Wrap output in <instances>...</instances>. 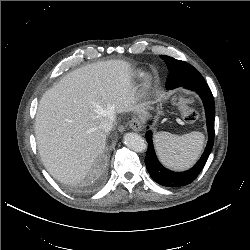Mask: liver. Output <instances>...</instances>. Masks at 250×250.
<instances>
[{
	"label": "liver",
	"instance_id": "liver-1",
	"mask_svg": "<svg viewBox=\"0 0 250 250\" xmlns=\"http://www.w3.org/2000/svg\"><path fill=\"white\" fill-rule=\"evenodd\" d=\"M134 97L131 67L123 60L76 69L46 91L38 105L35 135L50 175L63 183L85 178L105 149L100 123L139 111Z\"/></svg>",
	"mask_w": 250,
	"mask_h": 250
}]
</instances>
